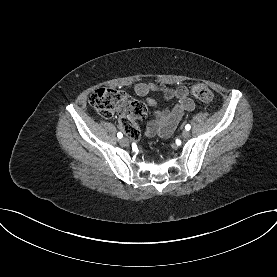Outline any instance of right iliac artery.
<instances>
[{"instance_id":"82829eb1","label":"right iliac artery","mask_w":277,"mask_h":277,"mask_svg":"<svg viewBox=\"0 0 277 277\" xmlns=\"http://www.w3.org/2000/svg\"><path fill=\"white\" fill-rule=\"evenodd\" d=\"M117 137H118V138H122V137H123V134H122L121 132H119V133L117 134Z\"/></svg>"}]
</instances>
